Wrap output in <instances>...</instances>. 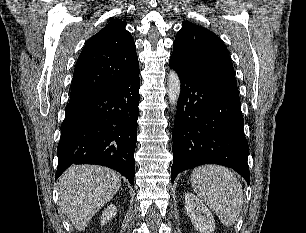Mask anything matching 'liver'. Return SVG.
Here are the masks:
<instances>
[{
  "instance_id": "liver-1",
  "label": "liver",
  "mask_w": 306,
  "mask_h": 233,
  "mask_svg": "<svg viewBox=\"0 0 306 233\" xmlns=\"http://www.w3.org/2000/svg\"><path fill=\"white\" fill-rule=\"evenodd\" d=\"M120 186L121 176L113 170L95 165L72 166L59 179L60 209L82 231Z\"/></svg>"
}]
</instances>
